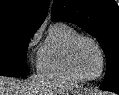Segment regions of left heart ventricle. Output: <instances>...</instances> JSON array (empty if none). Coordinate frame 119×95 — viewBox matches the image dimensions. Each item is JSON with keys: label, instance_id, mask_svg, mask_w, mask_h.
Segmentation results:
<instances>
[{"label": "left heart ventricle", "instance_id": "left-heart-ventricle-1", "mask_svg": "<svg viewBox=\"0 0 119 95\" xmlns=\"http://www.w3.org/2000/svg\"><path fill=\"white\" fill-rule=\"evenodd\" d=\"M76 63L84 75L96 76L101 69V56L92 43L83 41L76 51Z\"/></svg>", "mask_w": 119, "mask_h": 95}]
</instances>
